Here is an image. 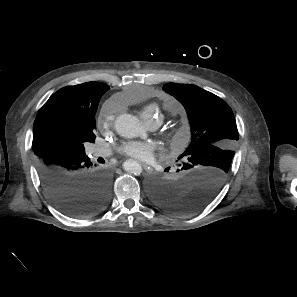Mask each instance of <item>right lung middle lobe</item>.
<instances>
[{"label":"right lung middle lobe","mask_w":297,"mask_h":297,"mask_svg":"<svg viewBox=\"0 0 297 297\" xmlns=\"http://www.w3.org/2000/svg\"><path fill=\"white\" fill-rule=\"evenodd\" d=\"M95 120L83 128L56 127L47 137V147L50 151H63L71 154L85 153L84 142L95 140Z\"/></svg>","instance_id":"dd1d6c3e"}]
</instances>
